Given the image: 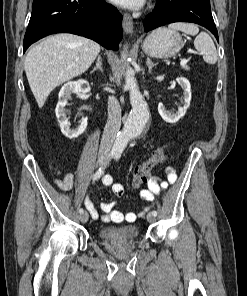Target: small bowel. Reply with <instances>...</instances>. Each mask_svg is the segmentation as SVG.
I'll use <instances>...</instances> for the list:
<instances>
[{
    "mask_svg": "<svg viewBox=\"0 0 247 296\" xmlns=\"http://www.w3.org/2000/svg\"><path fill=\"white\" fill-rule=\"evenodd\" d=\"M168 172V181L161 182V187L166 188L169 183H173L175 181V173L172 168L167 170ZM74 176L72 173H67L63 179L56 181V185L63 191H68L73 187ZM103 185L110 186L114 195L117 197H121L124 194V187L120 183H115L113 181L112 176L104 175L101 178ZM159 193V186L157 185L155 180H150L148 183V189H143L140 191V198L147 202H153L155 195ZM85 206L93 219L100 218L104 223H122V222H133L137 219L138 214L128 212L123 213L117 210L116 202L109 203H101L100 209L102 214L100 215L98 210L96 209L93 201L91 200L89 195L85 196L84 199ZM148 208H146L147 210Z\"/></svg>",
    "mask_w": 247,
    "mask_h": 296,
    "instance_id": "small-bowel-1",
    "label": "small bowel"
}]
</instances>
